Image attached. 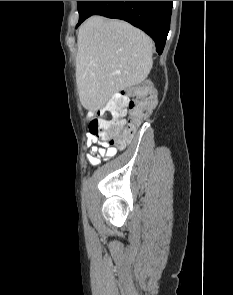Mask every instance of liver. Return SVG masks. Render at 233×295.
<instances>
[{
  "label": "liver",
  "mask_w": 233,
  "mask_h": 295,
  "mask_svg": "<svg viewBox=\"0 0 233 295\" xmlns=\"http://www.w3.org/2000/svg\"><path fill=\"white\" fill-rule=\"evenodd\" d=\"M77 47L79 99L93 112L115 93L143 82L153 65L151 38L125 21L88 18L79 28Z\"/></svg>",
  "instance_id": "1"
}]
</instances>
